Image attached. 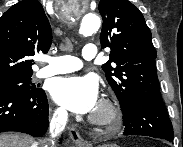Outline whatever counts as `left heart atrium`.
<instances>
[{
	"label": "left heart atrium",
	"instance_id": "left-heart-atrium-1",
	"mask_svg": "<svg viewBox=\"0 0 183 147\" xmlns=\"http://www.w3.org/2000/svg\"><path fill=\"white\" fill-rule=\"evenodd\" d=\"M50 92L56 103L76 113L94 111L98 105V84L92 77L57 78Z\"/></svg>",
	"mask_w": 183,
	"mask_h": 147
}]
</instances>
